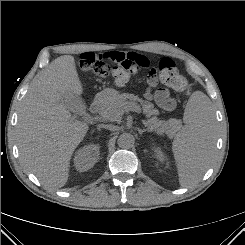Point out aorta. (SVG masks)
<instances>
[{"mask_svg": "<svg viewBox=\"0 0 245 245\" xmlns=\"http://www.w3.org/2000/svg\"><path fill=\"white\" fill-rule=\"evenodd\" d=\"M135 138L131 133H122L118 140V146L121 148H131L134 145Z\"/></svg>", "mask_w": 245, "mask_h": 245, "instance_id": "1", "label": "aorta"}]
</instances>
